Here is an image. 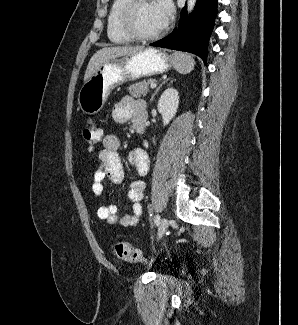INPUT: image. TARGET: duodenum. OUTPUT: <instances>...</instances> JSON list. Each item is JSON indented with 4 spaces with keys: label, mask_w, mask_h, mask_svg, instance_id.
I'll return each mask as SVG.
<instances>
[{
    "label": "duodenum",
    "mask_w": 298,
    "mask_h": 325,
    "mask_svg": "<svg viewBox=\"0 0 298 325\" xmlns=\"http://www.w3.org/2000/svg\"><path fill=\"white\" fill-rule=\"evenodd\" d=\"M133 122L137 132L144 133L147 123V105L145 102H138L133 110Z\"/></svg>",
    "instance_id": "1"
}]
</instances>
